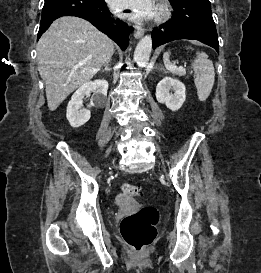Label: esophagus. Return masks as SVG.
Here are the masks:
<instances>
[{"instance_id": "1", "label": "esophagus", "mask_w": 261, "mask_h": 273, "mask_svg": "<svg viewBox=\"0 0 261 273\" xmlns=\"http://www.w3.org/2000/svg\"><path fill=\"white\" fill-rule=\"evenodd\" d=\"M144 34V29L141 27H136L135 31H134V37L139 39L143 36Z\"/></svg>"}]
</instances>
